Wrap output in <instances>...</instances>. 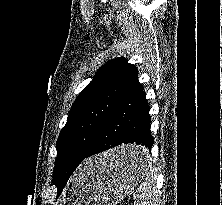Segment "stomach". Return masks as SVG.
I'll use <instances>...</instances> for the list:
<instances>
[{
	"label": "stomach",
	"instance_id": "stomach-1",
	"mask_svg": "<svg viewBox=\"0 0 222 205\" xmlns=\"http://www.w3.org/2000/svg\"><path fill=\"white\" fill-rule=\"evenodd\" d=\"M144 150L136 145H123L84 162L63 193L60 205H116L143 180L150 168L141 164H121L123 152Z\"/></svg>",
	"mask_w": 222,
	"mask_h": 205
}]
</instances>
